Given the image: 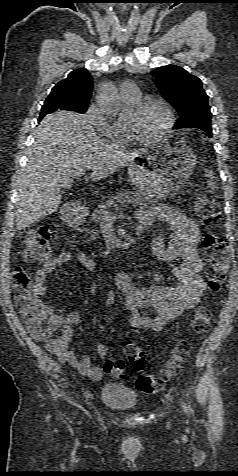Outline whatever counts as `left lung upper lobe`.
<instances>
[{
    "label": "left lung upper lobe",
    "mask_w": 238,
    "mask_h": 476,
    "mask_svg": "<svg viewBox=\"0 0 238 476\" xmlns=\"http://www.w3.org/2000/svg\"><path fill=\"white\" fill-rule=\"evenodd\" d=\"M154 82L165 98L179 113L174 129H211V111L202 81L180 66L158 67L151 72Z\"/></svg>",
    "instance_id": "5c2ea615"
}]
</instances>
